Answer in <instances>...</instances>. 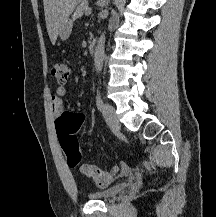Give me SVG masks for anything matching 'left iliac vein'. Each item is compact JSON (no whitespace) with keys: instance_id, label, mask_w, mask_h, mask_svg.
<instances>
[{"instance_id":"1","label":"left iliac vein","mask_w":216,"mask_h":217,"mask_svg":"<svg viewBox=\"0 0 216 217\" xmlns=\"http://www.w3.org/2000/svg\"><path fill=\"white\" fill-rule=\"evenodd\" d=\"M103 117L107 125L113 130L118 131L121 127L119 119L115 113V109L112 105L106 103L103 106Z\"/></svg>"}]
</instances>
